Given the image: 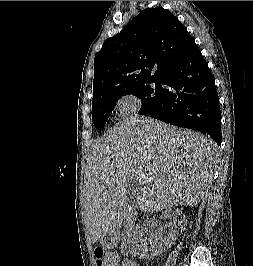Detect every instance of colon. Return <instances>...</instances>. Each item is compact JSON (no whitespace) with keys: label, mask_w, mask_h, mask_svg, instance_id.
I'll return each instance as SVG.
<instances>
[{"label":"colon","mask_w":253,"mask_h":266,"mask_svg":"<svg viewBox=\"0 0 253 266\" xmlns=\"http://www.w3.org/2000/svg\"><path fill=\"white\" fill-rule=\"evenodd\" d=\"M97 266H118L119 259L116 254L107 252L104 248H97L95 251Z\"/></svg>","instance_id":"colon-1"}]
</instances>
